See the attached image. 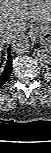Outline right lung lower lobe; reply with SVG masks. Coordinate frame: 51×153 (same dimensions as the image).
<instances>
[{
    "label": "right lung lower lobe",
    "mask_w": 51,
    "mask_h": 153,
    "mask_svg": "<svg viewBox=\"0 0 51 153\" xmlns=\"http://www.w3.org/2000/svg\"><path fill=\"white\" fill-rule=\"evenodd\" d=\"M12 71V57H11V47L8 49V60L6 63V66L4 68V71L0 74V87L5 84V82L8 80L10 74Z\"/></svg>",
    "instance_id": "right-lung-lower-lobe-1"
}]
</instances>
